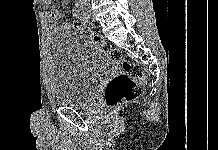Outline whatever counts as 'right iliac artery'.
I'll return each mask as SVG.
<instances>
[{
  "mask_svg": "<svg viewBox=\"0 0 218 150\" xmlns=\"http://www.w3.org/2000/svg\"><path fill=\"white\" fill-rule=\"evenodd\" d=\"M78 17L84 21V22H88L89 17H87L84 12H83V7L81 6L80 9L78 10Z\"/></svg>",
  "mask_w": 218,
  "mask_h": 150,
  "instance_id": "82829eb1",
  "label": "right iliac artery"
}]
</instances>
